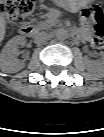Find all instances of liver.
Segmentation results:
<instances>
[{"label": "liver", "mask_w": 104, "mask_h": 137, "mask_svg": "<svg viewBox=\"0 0 104 137\" xmlns=\"http://www.w3.org/2000/svg\"><path fill=\"white\" fill-rule=\"evenodd\" d=\"M0 30H1V36L3 37L5 33V21L3 18H1L0 20Z\"/></svg>", "instance_id": "1"}]
</instances>
